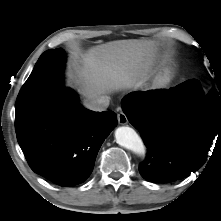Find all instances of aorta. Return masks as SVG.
Here are the masks:
<instances>
[{"instance_id":"1","label":"aorta","mask_w":221,"mask_h":221,"mask_svg":"<svg viewBox=\"0 0 221 221\" xmlns=\"http://www.w3.org/2000/svg\"><path fill=\"white\" fill-rule=\"evenodd\" d=\"M115 139L121 147L131 150L140 156H144L146 153V147L142 139L136 131L129 126L117 128L115 131Z\"/></svg>"}]
</instances>
